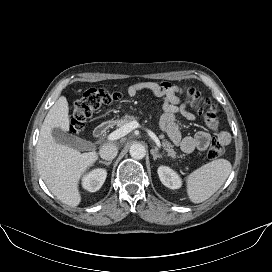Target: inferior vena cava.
<instances>
[{
    "mask_svg": "<svg viewBox=\"0 0 272 272\" xmlns=\"http://www.w3.org/2000/svg\"><path fill=\"white\" fill-rule=\"evenodd\" d=\"M117 153L118 149L113 144H105L99 150L100 157L109 161L113 160L117 156Z\"/></svg>",
    "mask_w": 272,
    "mask_h": 272,
    "instance_id": "inferior-vena-cava-1",
    "label": "inferior vena cava"
}]
</instances>
